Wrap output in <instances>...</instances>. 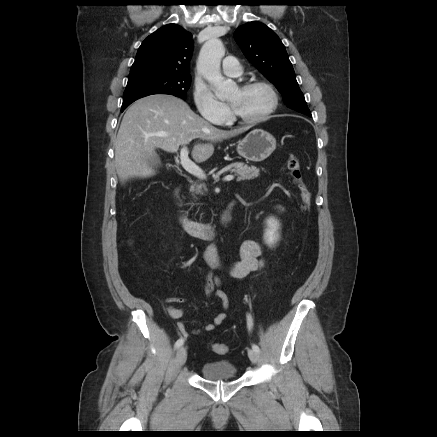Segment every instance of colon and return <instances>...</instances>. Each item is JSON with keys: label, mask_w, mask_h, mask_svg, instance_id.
<instances>
[{"label": "colon", "mask_w": 437, "mask_h": 437, "mask_svg": "<svg viewBox=\"0 0 437 437\" xmlns=\"http://www.w3.org/2000/svg\"><path fill=\"white\" fill-rule=\"evenodd\" d=\"M287 168L299 191L301 208L304 211H307L310 208L312 195L303 181L300 160L297 155L290 154L287 159ZM212 349L219 355H224L228 352V346L224 343H215L213 344Z\"/></svg>", "instance_id": "5ec220e1"}]
</instances>
